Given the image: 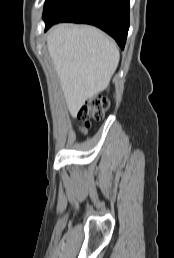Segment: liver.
Instances as JSON below:
<instances>
[{
    "mask_svg": "<svg viewBox=\"0 0 174 258\" xmlns=\"http://www.w3.org/2000/svg\"><path fill=\"white\" fill-rule=\"evenodd\" d=\"M47 48L72 116L86 100L108 87L120 59L116 43L88 25L60 24L51 28Z\"/></svg>",
    "mask_w": 174,
    "mask_h": 258,
    "instance_id": "liver-1",
    "label": "liver"
}]
</instances>
